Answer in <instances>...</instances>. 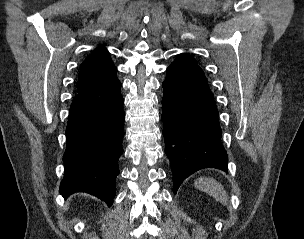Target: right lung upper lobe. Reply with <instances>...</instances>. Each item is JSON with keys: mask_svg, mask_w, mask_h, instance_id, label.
<instances>
[{"mask_svg": "<svg viewBox=\"0 0 304 239\" xmlns=\"http://www.w3.org/2000/svg\"><path fill=\"white\" fill-rule=\"evenodd\" d=\"M115 70L109 52L104 47L96 49L81 65L78 92L93 86Z\"/></svg>", "mask_w": 304, "mask_h": 239, "instance_id": "obj_1", "label": "right lung upper lobe"}]
</instances>
